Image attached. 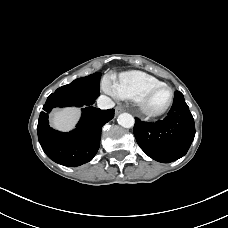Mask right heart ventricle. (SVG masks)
Instances as JSON below:
<instances>
[{
	"label": "right heart ventricle",
	"mask_w": 228,
	"mask_h": 228,
	"mask_svg": "<svg viewBox=\"0 0 228 228\" xmlns=\"http://www.w3.org/2000/svg\"><path fill=\"white\" fill-rule=\"evenodd\" d=\"M162 83L156 77L141 71H130L120 75L113 88L120 99L137 101L149 87Z\"/></svg>",
	"instance_id": "right-heart-ventricle-1"
}]
</instances>
